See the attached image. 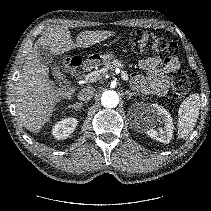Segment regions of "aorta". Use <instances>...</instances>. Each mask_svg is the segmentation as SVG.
<instances>
[{"mask_svg": "<svg viewBox=\"0 0 211 211\" xmlns=\"http://www.w3.org/2000/svg\"><path fill=\"white\" fill-rule=\"evenodd\" d=\"M101 103L106 108H114L119 103V96L113 90L105 91L101 96Z\"/></svg>", "mask_w": 211, "mask_h": 211, "instance_id": "762f6f07", "label": "aorta"}]
</instances>
